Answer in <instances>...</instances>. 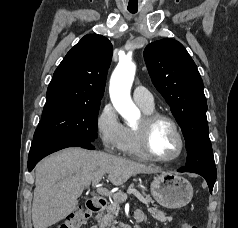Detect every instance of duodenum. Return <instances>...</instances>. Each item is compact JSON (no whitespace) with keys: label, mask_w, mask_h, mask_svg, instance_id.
I'll use <instances>...</instances> for the list:
<instances>
[{"label":"duodenum","mask_w":238,"mask_h":228,"mask_svg":"<svg viewBox=\"0 0 238 228\" xmlns=\"http://www.w3.org/2000/svg\"><path fill=\"white\" fill-rule=\"evenodd\" d=\"M106 203L107 201L105 198L94 197L88 200L87 209L90 213L99 214L105 209ZM143 218H144V213L141 210H136L133 213V219L136 222H141Z\"/></svg>","instance_id":"410a0bca"}]
</instances>
